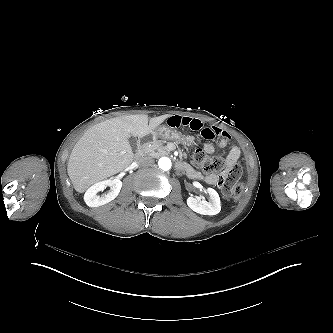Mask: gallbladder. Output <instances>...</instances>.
<instances>
[{
  "mask_svg": "<svg viewBox=\"0 0 333 333\" xmlns=\"http://www.w3.org/2000/svg\"><path fill=\"white\" fill-rule=\"evenodd\" d=\"M129 143H130V145H131L132 150H133L134 152H136V151H137V139L134 138V137H131V138L129 139Z\"/></svg>",
  "mask_w": 333,
  "mask_h": 333,
  "instance_id": "gallbladder-1",
  "label": "gallbladder"
}]
</instances>
